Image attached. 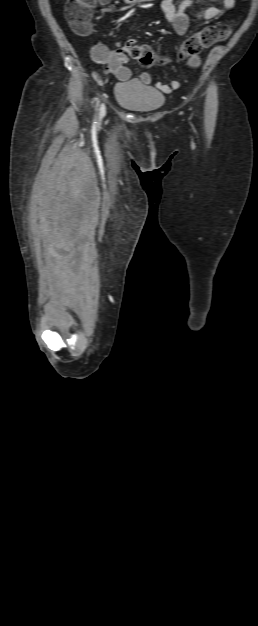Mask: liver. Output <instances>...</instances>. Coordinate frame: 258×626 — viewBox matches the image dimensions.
Masks as SVG:
<instances>
[{
  "label": "liver",
  "mask_w": 258,
  "mask_h": 626,
  "mask_svg": "<svg viewBox=\"0 0 258 626\" xmlns=\"http://www.w3.org/2000/svg\"><path fill=\"white\" fill-rule=\"evenodd\" d=\"M46 221V213H43L42 222Z\"/></svg>",
  "instance_id": "obj_1"
}]
</instances>
